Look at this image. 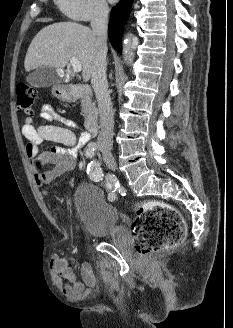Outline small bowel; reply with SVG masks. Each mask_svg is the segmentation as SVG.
<instances>
[{
	"label": "small bowel",
	"instance_id": "1",
	"mask_svg": "<svg viewBox=\"0 0 233 328\" xmlns=\"http://www.w3.org/2000/svg\"><path fill=\"white\" fill-rule=\"evenodd\" d=\"M41 119L45 122L37 127L27 118L22 125L21 131L26 139L25 152L28 158L35 164L38 157L54 164V168L45 173L35 170V182L39 187L50 184L56 177L71 170L79 149L86 145L92 138L88 132H83L79 139L76 138L72 128L76 124L59 116L53 108L46 104L42 107ZM58 122L61 125H53ZM44 141H52L59 144L51 151L38 155V146ZM51 269L54 275L56 287L64 295L71 299H80L88 295L95 286V276L89 264L83 263L80 276H77L69 264L67 258L57 254L51 257Z\"/></svg>",
	"mask_w": 233,
	"mask_h": 328
}]
</instances>
